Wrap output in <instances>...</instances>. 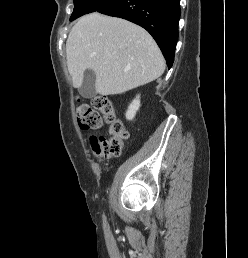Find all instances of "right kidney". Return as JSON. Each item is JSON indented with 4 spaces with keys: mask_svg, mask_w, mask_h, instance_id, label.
<instances>
[{
    "mask_svg": "<svg viewBox=\"0 0 248 258\" xmlns=\"http://www.w3.org/2000/svg\"><path fill=\"white\" fill-rule=\"evenodd\" d=\"M139 108H140V96L138 95L129 105L128 110L126 112V119L133 120Z\"/></svg>",
    "mask_w": 248,
    "mask_h": 258,
    "instance_id": "obj_1",
    "label": "right kidney"
}]
</instances>
